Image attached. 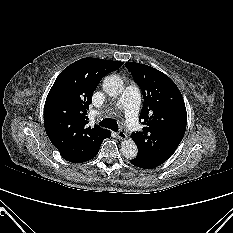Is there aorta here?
I'll list each match as a JSON object with an SVG mask.
<instances>
[{"mask_svg": "<svg viewBox=\"0 0 233 233\" xmlns=\"http://www.w3.org/2000/svg\"><path fill=\"white\" fill-rule=\"evenodd\" d=\"M124 89L123 80L118 75H109L104 78L103 90L111 97H118ZM121 152L126 158L132 159L137 156V145L132 139L121 143Z\"/></svg>", "mask_w": 233, "mask_h": 233, "instance_id": "1", "label": "aorta"}]
</instances>
